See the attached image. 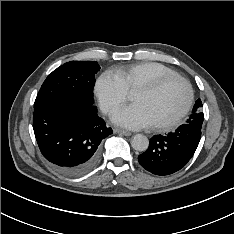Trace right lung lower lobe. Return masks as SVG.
I'll return each mask as SVG.
<instances>
[{
    "label": "right lung lower lobe",
    "mask_w": 234,
    "mask_h": 234,
    "mask_svg": "<svg viewBox=\"0 0 234 234\" xmlns=\"http://www.w3.org/2000/svg\"><path fill=\"white\" fill-rule=\"evenodd\" d=\"M33 129L42 155L67 175H81L97 162L102 139L113 133L97 108L58 99L34 109Z\"/></svg>",
    "instance_id": "1"
}]
</instances>
